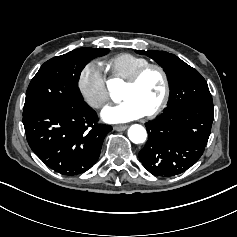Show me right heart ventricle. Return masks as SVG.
Returning <instances> with one entry per match:
<instances>
[{"label": "right heart ventricle", "instance_id": "obj_1", "mask_svg": "<svg viewBox=\"0 0 237 237\" xmlns=\"http://www.w3.org/2000/svg\"><path fill=\"white\" fill-rule=\"evenodd\" d=\"M147 64L149 61L144 57L120 53L108 60L107 67L112 78L126 80Z\"/></svg>", "mask_w": 237, "mask_h": 237}]
</instances>
